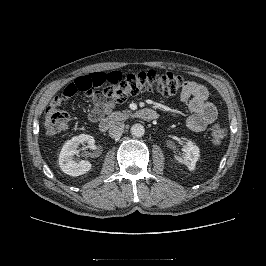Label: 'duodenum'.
Segmentation results:
<instances>
[{
    "label": "duodenum",
    "instance_id": "410a0bca",
    "mask_svg": "<svg viewBox=\"0 0 266 266\" xmlns=\"http://www.w3.org/2000/svg\"><path fill=\"white\" fill-rule=\"evenodd\" d=\"M134 115L145 121H151L158 118V113L150 108L140 109L136 111ZM91 117H93V121L97 122L100 131L105 132L116 123L124 120L126 118V114L122 112H116L103 117L96 111H93L91 112Z\"/></svg>",
    "mask_w": 266,
    "mask_h": 266
}]
</instances>
